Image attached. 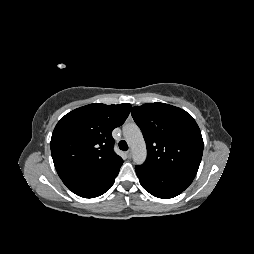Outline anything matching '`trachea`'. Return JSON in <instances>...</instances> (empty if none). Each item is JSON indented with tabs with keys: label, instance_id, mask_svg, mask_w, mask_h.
<instances>
[{
	"label": "trachea",
	"instance_id": "trachea-1",
	"mask_svg": "<svg viewBox=\"0 0 254 254\" xmlns=\"http://www.w3.org/2000/svg\"><path fill=\"white\" fill-rule=\"evenodd\" d=\"M119 148H120L121 150H123V151H127V150H128V145H127V143H126L125 140H121V141L119 142Z\"/></svg>",
	"mask_w": 254,
	"mask_h": 254
}]
</instances>
